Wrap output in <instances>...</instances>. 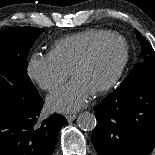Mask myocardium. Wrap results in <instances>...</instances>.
<instances>
[{"instance_id":"1","label":"myocardium","mask_w":155,"mask_h":155,"mask_svg":"<svg viewBox=\"0 0 155 155\" xmlns=\"http://www.w3.org/2000/svg\"><path fill=\"white\" fill-rule=\"evenodd\" d=\"M119 40L123 43L124 46V57L122 59V62L117 70V72L115 73V75L113 76V78L103 87H101L100 89H98L95 93H93V95H101L104 93L109 92L110 90H112L117 83L119 82V80L121 79L125 68L128 64L129 61V56H130V50H129V45L127 40L120 34L118 33H110L104 37H102L101 39H99L96 43L93 44V46L86 52V54L74 65L73 69L71 70V76L74 78L75 75L81 70L83 69L86 65H88L92 59L95 57V55L97 54L98 50L108 41L110 40Z\"/></svg>"}]
</instances>
